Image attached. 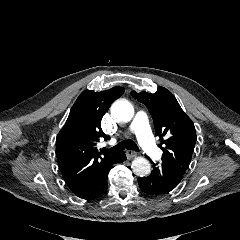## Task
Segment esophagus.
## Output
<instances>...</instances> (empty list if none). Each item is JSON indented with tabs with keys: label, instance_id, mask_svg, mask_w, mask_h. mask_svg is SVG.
Here are the masks:
<instances>
[{
	"label": "esophagus",
	"instance_id": "esophagus-1",
	"mask_svg": "<svg viewBox=\"0 0 240 240\" xmlns=\"http://www.w3.org/2000/svg\"><path fill=\"white\" fill-rule=\"evenodd\" d=\"M137 156V152L134 150H126L127 159H132Z\"/></svg>",
	"mask_w": 240,
	"mask_h": 240
}]
</instances>
